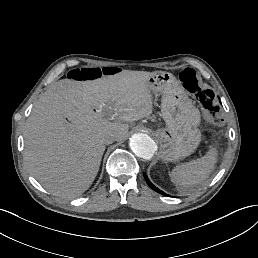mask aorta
<instances>
[{"label": "aorta", "instance_id": "762f6f07", "mask_svg": "<svg viewBox=\"0 0 258 258\" xmlns=\"http://www.w3.org/2000/svg\"><path fill=\"white\" fill-rule=\"evenodd\" d=\"M130 148L137 157L150 160L157 151V144L149 135L137 133L130 139Z\"/></svg>", "mask_w": 258, "mask_h": 258}]
</instances>
